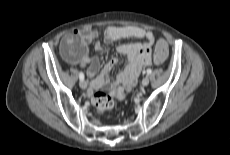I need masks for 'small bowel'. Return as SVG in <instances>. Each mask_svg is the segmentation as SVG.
Returning a JSON list of instances; mask_svg holds the SVG:
<instances>
[{
	"label": "small bowel",
	"instance_id": "c3829d8e",
	"mask_svg": "<svg viewBox=\"0 0 230 155\" xmlns=\"http://www.w3.org/2000/svg\"><path fill=\"white\" fill-rule=\"evenodd\" d=\"M99 33L96 30L83 29L70 33L63 41L62 55L66 61L85 67L88 65L87 75L93 78L88 90V95L92 97L94 90L101 88H112L121 90L122 98L125 91H130L144 66L152 64L151 46L154 42V34L151 31L135 26H109L103 34L105 43H113L124 39H144L145 42L123 43L117 47V51L127 57L126 67L116 76L114 80L109 79V73L116 66L118 60L111 58L100 71V58H90L87 55V46L94 44L97 51L102 52V46L97 41ZM73 39H79L81 53H75L74 47L71 46ZM121 85L122 87H119ZM93 101V99H92Z\"/></svg>",
	"mask_w": 230,
	"mask_h": 155
}]
</instances>
